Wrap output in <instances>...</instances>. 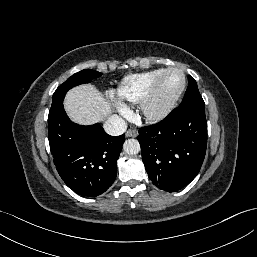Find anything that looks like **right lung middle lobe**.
I'll use <instances>...</instances> for the list:
<instances>
[{"instance_id": "obj_1", "label": "right lung middle lobe", "mask_w": 257, "mask_h": 257, "mask_svg": "<svg viewBox=\"0 0 257 257\" xmlns=\"http://www.w3.org/2000/svg\"><path fill=\"white\" fill-rule=\"evenodd\" d=\"M102 73L97 72L95 70L91 69H84L80 72L75 73L71 77H69L63 84H61L57 90L54 92L52 97V105H51V111H54L61 105H63V99L65 97L66 92L71 89L72 87H75L77 85L83 84V83H89L92 81V79L97 78L101 76Z\"/></svg>"}]
</instances>
